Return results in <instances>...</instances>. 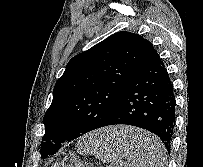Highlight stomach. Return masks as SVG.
I'll return each mask as SVG.
<instances>
[{
  "label": "stomach",
  "mask_w": 203,
  "mask_h": 167,
  "mask_svg": "<svg viewBox=\"0 0 203 167\" xmlns=\"http://www.w3.org/2000/svg\"><path fill=\"white\" fill-rule=\"evenodd\" d=\"M112 128V127H111ZM110 128H107V129H105V131H98V132H100V133H102V134H104V135H106V133H107V131L109 130ZM125 150L124 149H119V148H116V149H114V153H116L117 155H121V156H123L124 154H125ZM77 167H88V166H77Z\"/></svg>",
  "instance_id": "obj_1"
}]
</instances>
